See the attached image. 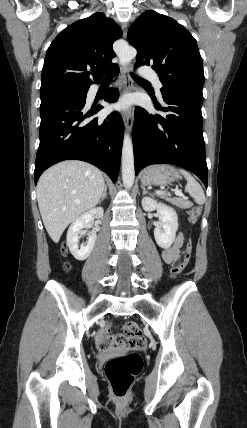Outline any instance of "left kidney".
Listing matches in <instances>:
<instances>
[{
    "instance_id": "left-kidney-1",
    "label": "left kidney",
    "mask_w": 247,
    "mask_h": 428,
    "mask_svg": "<svg viewBox=\"0 0 247 428\" xmlns=\"http://www.w3.org/2000/svg\"><path fill=\"white\" fill-rule=\"evenodd\" d=\"M142 207L145 211H157L159 226L154 229V237L156 243L161 248H169L174 242L178 230V216L176 211L172 207L157 202L150 197H144L142 199Z\"/></svg>"
}]
</instances>
